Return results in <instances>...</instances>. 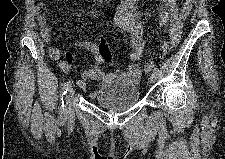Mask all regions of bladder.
<instances>
[{"label":"bladder","instance_id":"31cf9c89","mask_svg":"<svg viewBox=\"0 0 225 159\" xmlns=\"http://www.w3.org/2000/svg\"><path fill=\"white\" fill-rule=\"evenodd\" d=\"M138 101L139 89L129 82L106 83L94 94L97 105L117 112L130 108Z\"/></svg>","mask_w":225,"mask_h":159}]
</instances>
